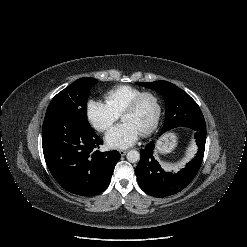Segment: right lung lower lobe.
<instances>
[{"instance_id": "98d812e1", "label": "right lung lower lobe", "mask_w": 247, "mask_h": 247, "mask_svg": "<svg viewBox=\"0 0 247 247\" xmlns=\"http://www.w3.org/2000/svg\"><path fill=\"white\" fill-rule=\"evenodd\" d=\"M103 144L90 124L65 114L44 118L42 146L54 179L68 192L95 196L109 185L118 151L100 152Z\"/></svg>"}]
</instances>
